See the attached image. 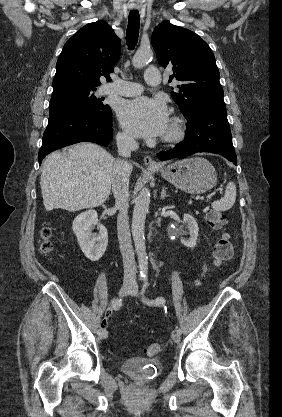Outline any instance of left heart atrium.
Masks as SVG:
<instances>
[{
	"instance_id": "1",
	"label": "left heart atrium",
	"mask_w": 282,
	"mask_h": 417,
	"mask_svg": "<svg viewBox=\"0 0 282 417\" xmlns=\"http://www.w3.org/2000/svg\"><path fill=\"white\" fill-rule=\"evenodd\" d=\"M118 116L124 128L138 136L160 135L168 125L164 103L154 99L124 101L118 109Z\"/></svg>"
}]
</instances>
